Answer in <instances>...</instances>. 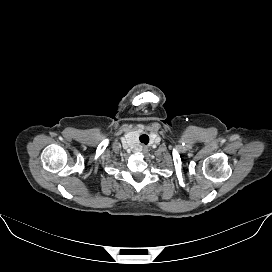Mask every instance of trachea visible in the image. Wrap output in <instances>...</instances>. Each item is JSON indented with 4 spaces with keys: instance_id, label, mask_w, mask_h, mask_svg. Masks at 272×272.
Wrapping results in <instances>:
<instances>
[{
    "instance_id": "1",
    "label": "trachea",
    "mask_w": 272,
    "mask_h": 272,
    "mask_svg": "<svg viewBox=\"0 0 272 272\" xmlns=\"http://www.w3.org/2000/svg\"><path fill=\"white\" fill-rule=\"evenodd\" d=\"M139 140H140L141 143L148 144V142H149V137H148V135H146V134H142V135L139 137Z\"/></svg>"
}]
</instances>
